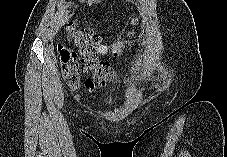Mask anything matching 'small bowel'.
Instances as JSON below:
<instances>
[{
  "mask_svg": "<svg viewBox=\"0 0 227 157\" xmlns=\"http://www.w3.org/2000/svg\"><path fill=\"white\" fill-rule=\"evenodd\" d=\"M124 44H125V40H119V41H116L113 46H112V51L114 53H117L119 51L122 50V48L124 47ZM109 51V48L106 46V45H103L101 44L99 47H98V53L99 54H106L107 52ZM87 86L90 88V89H93L94 88V84L92 83H88L87 82Z\"/></svg>",
  "mask_w": 227,
  "mask_h": 157,
  "instance_id": "obj_1",
  "label": "small bowel"
}]
</instances>
